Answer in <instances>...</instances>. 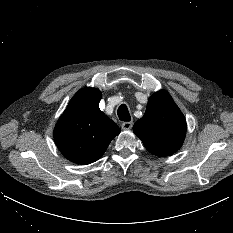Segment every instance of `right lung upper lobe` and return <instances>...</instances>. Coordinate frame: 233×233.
Segmentation results:
<instances>
[{
	"label": "right lung upper lobe",
	"instance_id": "1",
	"mask_svg": "<svg viewBox=\"0 0 233 233\" xmlns=\"http://www.w3.org/2000/svg\"><path fill=\"white\" fill-rule=\"evenodd\" d=\"M101 92L86 87L71 99L54 128V139L71 162L90 164L98 160L121 131L100 109Z\"/></svg>",
	"mask_w": 233,
	"mask_h": 233
}]
</instances>
